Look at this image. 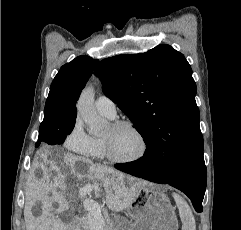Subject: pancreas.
Segmentation results:
<instances>
[{"label":"pancreas","mask_w":241,"mask_h":230,"mask_svg":"<svg viewBox=\"0 0 241 230\" xmlns=\"http://www.w3.org/2000/svg\"><path fill=\"white\" fill-rule=\"evenodd\" d=\"M72 230H115L112 223H104L101 227H96L89 222V214L86 212L77 223L74 224Z\"/></svg>","instance_id":"obj_1"}]
</instances>
